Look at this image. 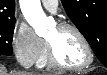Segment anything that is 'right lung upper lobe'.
I'll return each instance as SVG.
<instances>
[{
  "label": "right lung upper lobe",
  "instance_id": "cb5924a9",
  "mask_svg": "<svg viewBox=\"0 0 107 75\" xmlns=\"http://www.w3.org/2000/svg\"><path fill=\"white\" fill-rule=\"evenodd\" d=\"M15 13L14 0H0V21L13 20Z\"/></svg>",
  "mask_w": 107,
  "mask_h": 75
}]
</instances>
